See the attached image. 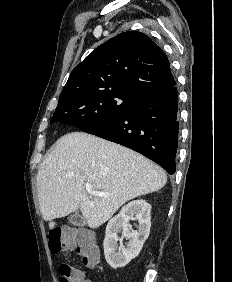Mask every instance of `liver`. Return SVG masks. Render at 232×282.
I'll return each mask as SVG.
<instances>
[{"mask_svg": "<svg viewBox=\"0 0 232 282\" xmlns=\"http://www.w3.org/2000/svg\"><path fill=\"white\" fill-rule=\"evenodd\" d=\"M166 182L164 170L141 154L97 136L71 132L57 140L38 169L39 207L50 229L54 219L77 209L95 229L127 201L158 191ZM87 184L109 195H90Z\"/></svg>", "mask_w": 232, "mask_h": 282, "instance_id": "liver-1", "label": "liver"}]
</instances>
